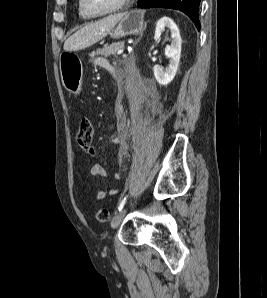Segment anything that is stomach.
<instances>
[{
	"instance_id": "1",
	"label": "stomach",
	"mask_w": 267,
	"mask_h": 298,
	"mask_svg": "<svg viewBox=\"0 0 267 298\" xmlns=\"http://www.w3.org/2000/svg\"><path fill=\"white\" fill-rule=\"evenodd\" d=\"M144 10L127 12L116 27L110 31V36L119 39L128 35L142 34L145 29ZM60 74L65 89L72 94H79L82 89L83 69L80 59L66 51L60 55Z\"/></svg>"
}]
</instances>
